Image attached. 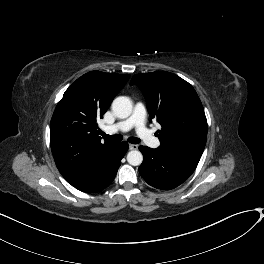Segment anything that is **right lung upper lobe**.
<instances>
[{
	"instance_id": "cb5924a9",
	"label": "right lung upper lobe",
	"mask_w": 264,
	"mask_h": 264,
	"mask_svg": "<svg viewBox=\"0 0 264 264\" xmlns=\"http://www.w3.org/2000/svg\"><path fill=\"white\" fill-rule=\"evenodd\" d=\"M129 77L88 72L69 86L57 104L50 124L51 150L58 170L71 185L97 174L113 154L118 142H101L97 121Z\"/></svg>"
}]
</instances>
